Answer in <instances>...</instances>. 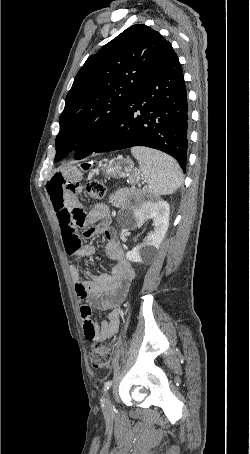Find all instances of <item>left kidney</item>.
<instances>
[{"mask_svg": "<svg viewBox=\"0 0 250 454\" xmlns=\"http://www.w3.org/2000/svg\"><path fill=\"white\" fill-rule=\"evenodd\" d=\"M170 208L165 201H147L139 208L134 209L135 227L145 221L153 220L154 230L146 240L126 253V258L132 262H142L146 257H152L159 249L169 226Z\"/></svg>", "mask_w": 250, "mask_h": 454, "instance_id": "5707ae66", "label": "left kidney"}]
</instances>
